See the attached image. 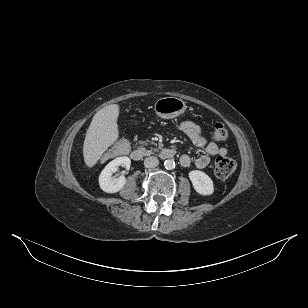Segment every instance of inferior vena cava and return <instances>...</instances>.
<instances>
[{
    "label": "inferior vena cava",
    "instance_id": "602c4592",
    "mask_svg": "<svg viewBox=\"0 0 308 308\" xmlns=\"http://www.w3.org/2000/svg\"><path fill=\"white\" fill-rule=\"evenodd\" d=\"M158 164H159V160H158V158H156L154 156L147 157L144 160V166L146 168H153V167L158 166Z\"/></svg>",
    "mask_w": 308,
    "mask_h": 308
}]
</instances>
